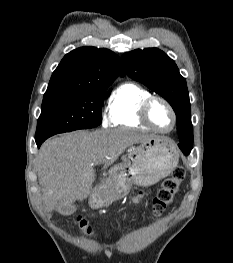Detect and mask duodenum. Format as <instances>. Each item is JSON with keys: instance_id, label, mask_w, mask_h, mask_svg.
<instances>
[{"instance_id": "1", "label": "duodenum", "mask_w": 233, "mask_h": 263, "mask_svg": "<svg viewBox=\"0 0 233 263\" xmlns=\"http://www.w3.org/2000/svg\"><path fill=\"white\" fill-rule=\"evenodd\" d=\"M100 190H101L100 187H98L96 192L91 197V202L93 206H97L100 203V198H101L99 194Z\"/></svg>"}]
</instances>
